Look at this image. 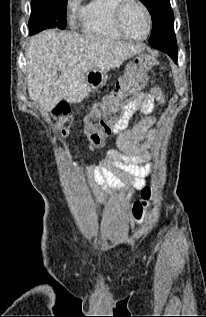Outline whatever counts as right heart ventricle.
<instances>
[{
	"label": "right heart ventricle",
	"instance_id": "1",
	"mask_svg": "<svg viewBox=\"0 0 206 317\" xmlns=\"http://www.w3.org/2000/svg\"><path fill=\"white\" fill-rule=\"evenodd\" d=\"M119 0H88L79 10L83 31L87 34L120 40L113 24V9Z\"/></svg>",
	"mask_w": 206,
	"mask_h": 317
}]
</instances>
